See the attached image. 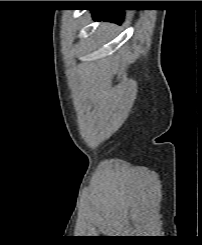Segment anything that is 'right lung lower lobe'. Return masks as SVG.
<instances>
[{"label": "right lung lower lobe", "mask_w": 202, "mask_h": 245, "mask_svg": "<svg viewBox=\"0 0 202 245\" xmlns=\"http://www.w3.org/2000/svg\"><path fill=\"white\" fill-rule=\"evenodd\" d=\"M91 11L95 20L105 19L121 23L124 18V13L122 10L97 9Z\"/></svg>", "instance_id": "1"}]
</instances>
